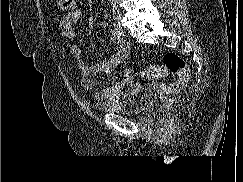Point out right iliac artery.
I'll return each mask as SVG.
<instances>
[{
  "mask_svg": "<svg viewBox=\"0 0 243 182\" xmlns=\"http://www.w3.org/2000/svg\"><path fill=\"white\" fill-rule=\"evenodd\" d=\"M112 35L117 38V39H120L121 36H122V33L120 32V30L118 28H114L112 30Z\"/></svg>",
  "mask_w": 243,
  "mask_h": 182,
  "instance_id": "right-iliac-artery-1",
  "label": "right iliac artery"
}]
</instances>
